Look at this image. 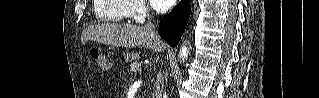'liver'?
<instances>
[{
    "mask_svg": "<svg viewBox=\"0 0 319 98\" xmlns=\"http://www.w3.org/2000/svg\"><path fill=\"white\" fill-rule=\"evenodd\" d=\"M82 37L85 41L92 40L126 48L145 47L155 52L165 48L160 38L153 36L146 27L129 24L106 23L89 26L83 31Z\"/></svg>",
    "mask_w": 319,
    "mask_h": 98,
    "instance_id": "liver-1",
    "label": "liver"
}]
</instances>
